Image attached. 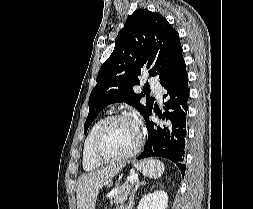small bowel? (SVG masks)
Segmentation results:
<instances>
[{"mask_svg": "<svg viewBox=\"0 0 253 209\" xmlns=\"http://www.w3.org/2000/svg\"><path fill=\"white\" fill-rule=\"evenodd\" d=\"M116 209H125L124 207H118V208H116Z\"/></svg>", "mask_w": 253, "mask_h": 209, "instance_id": "obj_1", "label": "small bowel"}]
</instances>
